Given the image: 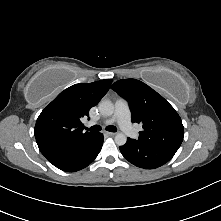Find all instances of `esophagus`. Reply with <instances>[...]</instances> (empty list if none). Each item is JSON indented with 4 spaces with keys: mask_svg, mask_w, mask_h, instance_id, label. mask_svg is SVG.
Masks as SVG:
<instances>
[{
    "mask_svg": "<svg viewBox=\"0 0 221 221\" xmlns=\"http://www.w3.org/2000/svg\"><path fill=\"white\" fill-rule=\"evenodd\" d=\"M116 133L114 132H106V135H109V136H114Z\"/></svg>",
    "mask_w": 221,
    "mask_h": 221,
    "instance_id": "1",
    "label": "esophagus"
}]
</instances>
